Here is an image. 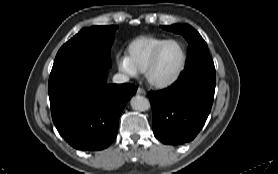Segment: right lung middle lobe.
I'll return each instance as SVG.
<instances>
[{"label":"right lung middle lobe","mask_w":278,"mask_h":174,"mask_svg":"<svg viewBox=\"0 0 278 174\" xmlns=\"http://www.w3.org/2000/svg\"><path fill=\"white\" fill-rule=\"evenodd\" d=\"M117 26H93L82 29L66 42L58 51L53 68L68 63H88L99 67L110 68V47Z\"/></svg>","instance_id":"right-lung-middle-lobe-1"}]
</instances>
